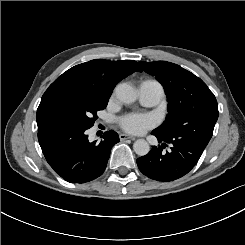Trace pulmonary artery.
Listing matches in <instances>:
<instances>
[{"label":"pulmonary artery","instance_id":"e3ab8cb5","mask_svg":"<svg viewBox=\"0 0 245 245\" xmlns=\"http://www.w3.org/2000/svg\"><path fill=\"white\" fill-rule=\"evenodd\" d=\"M138 95L142 104L154 106L163 98L164 92L160 83L154 80H146L138 86Z\"/></svg>","mask_w":245,"mask_h":245}]
</instances>
